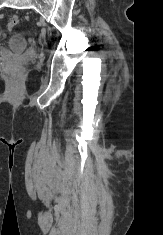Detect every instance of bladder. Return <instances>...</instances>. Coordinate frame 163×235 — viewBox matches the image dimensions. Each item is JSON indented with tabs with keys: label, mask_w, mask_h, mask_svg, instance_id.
I'll list each match as a JSON object with an SVG mask.
<instances>
[{
	"label": "bladder",
	"mask_w": 163,
	"mask_h": 235,
	"mask_svg": "<svg viewBox=\"0 0 163 235\" xmlns=\"http://www.w3.org/2000/svg\"><path fill=\"white\" fill-rule=\"evenodd\" d=\"M7 44L11 50L21 51L26 47L27 39L24 35L17 34L10 37Z\"/></svg>",
	"instance_id": "obj_1"
}]
</instances>
